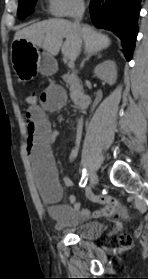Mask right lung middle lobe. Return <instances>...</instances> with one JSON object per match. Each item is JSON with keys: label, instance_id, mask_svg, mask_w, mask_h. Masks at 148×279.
Instances as JSON below:
<instances>
[{"label": "right lung middle lobe", "instance_id": "dd1d6c3e", "mask_svg": "<svg viewBox=\"0 0 148 279\" xmlns=\"http://www.w3.org/2000/svg\"><path fill=\"white\" fill-rule=\"evenodd\" d=\"M36 1L37 0H19L17 12L19 19H24L33 11Z\"/></svg>", "mask_w": 148, "mask_h": 279}]
</instances>
